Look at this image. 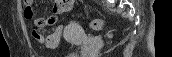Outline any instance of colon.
<instances>
[{"label":"colon","instance_id":"5ec220e1","mask_svg":"<svg viewBox=\"0 0 172 57\" xmlns=\"http://www.w3.org/2000/svg\"><path fill=\"white\" fill-rule=\"evenodd\" d=\"M24 13L26 15H28V16H31L33 12H32V9L30 7H26L25 10H24ZM88 25H89V27H91L92 29H95V30H100L103 27V23L99 19H96V20H93V21L89 22ZM62 30H63L62 26H59L56 29L57 32H59V31L62 32Z\"/></svg>","mask_w":172,"mask_h":57}]
</instances>
